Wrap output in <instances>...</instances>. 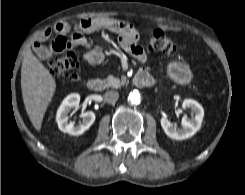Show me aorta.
<instances>
[{
	"label": "aorta",
	"mask_w": 245,
	"mask_h": 195,
	"mask_svg": "<svg viewBox=\"0 0 245 195\" xmlns=\"http://www.w3.org/2000/svg\"><path fill=\"white\" fill-rule=\"evenodd\" d=\"M128 100L133 105L140 103V93L134 90L129 94Z\"/></svg>",
	"instance_id": "aorta-1"
}]
</instances>
